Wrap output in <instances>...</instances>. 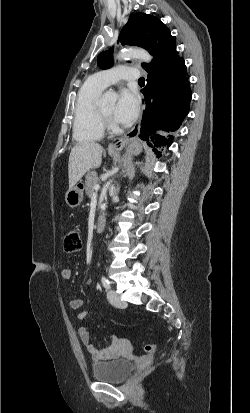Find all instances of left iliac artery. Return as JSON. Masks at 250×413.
Masks as SVG:
<instances>
[{"label":"left iliac artery","mask_w":250,"mask_h":413,"mask_svg":"<svg viewBox=\"0 0 250 413\" xmlns=\"http://www.w3.org/2000/svg\"><path fill=\"white\" fill-rule=\"evenodd\" d=\"M101 282L105 289H110V282L105 276H102Z\"/></svg>","instance_id":"44dca946"}]
</instances>
